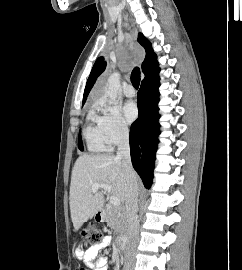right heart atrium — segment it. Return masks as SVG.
Here are the masks:
<instances>
[{"label": "right heart atrium", "mask_w": 242, "mask_h": 270, "mask_svg": "<svg viewBox=\"0 0 242 270\" xmlns=\"http://www.w3.org/2000/svg\"><path fill=\"white\" fill-rule=\"evenodd\" d=\"M102 126L110 145H117L125 141L130 133L129 126L120 110L115 106L101 103Z\"/></svg>", "instance_id": "1"}]
</instances>
